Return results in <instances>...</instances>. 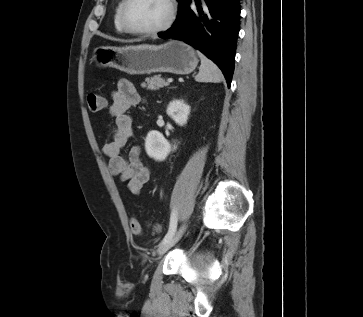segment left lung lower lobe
Masks as SVG:
<instances>
[{
	"mask_svg": "<svg viewBox=\"0 0 363 317\" xmlns=\"http://www.w3.org/2000/svg\"><path fill=\"white\" fill-rule=\"evenodd\" d=\"M178 1L176 21L158 36L183 40L202 51L219 66L230 86L240 25L239 0Z\"/></svg>",
	"mask_w": 363,
	"mask_h": 317,
	"instance_id": "obj_1",
	"label": "left lung lower lobe"
}]
</instances>
